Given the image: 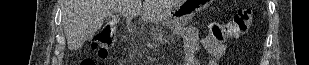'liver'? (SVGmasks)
<instances>
[{"mask_svg":"<svg viewBox=\"0 0 309 65\" xmlns=\"http://www.w3.org/2000/svg\"><path fill=\"white\" fill-rule=\"evenodd\" d=\"M62 0V20L68 49H80L113 12L130 17L160 14L180 0Z\"/></svg>","mask_w":309,"mask_h":65,"instance_id":"1","label":"liver"}]
</instances>
